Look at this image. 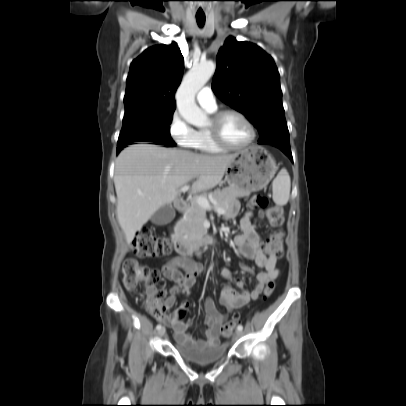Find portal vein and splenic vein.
<instances>
[{
	"mask_svg": "<svg viewBox=\"0 0 406 406\" xmlns=\"http://www.w3.org/2000/svg\"><path fill=\"white\" fill-rule=\"evenodd\" d=\"M189 188H190L189 185H184L183 187H181L180 190L182 192H185V191L189 190ZM196 202L199 206L203 207L204 209H207V210L214 209L218 214L225 213V210L220 208L217 204H214V206H212L206 197L199 196L196 198Z\"/></svg>",
	"mask_w": 406,
	"mask_h": 406,
	"instance_id": "18ae733b",
	"label": "portal vein and splenic vein"
}]
</instances>
